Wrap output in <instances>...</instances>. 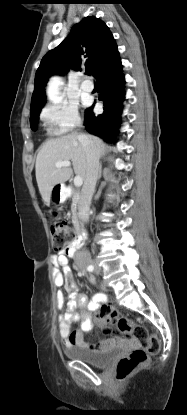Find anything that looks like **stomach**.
Wrapping results in <instances>:
<instances>
[{"label":"stomach","mask_w":187,"mask_h":415,"mask_svg":"<svg viewBox=\"0 0 187 415\" xmlns=\"http://www.w3.org/2000/svg\"><path fill=\"white\" fill-rule=\"evenodd\" d=\"M64 193H65V187L63 184L55 185L51 192V198L55 203L62 202Z\"/></svg>","instance_id":"stomach-1"}]
</instances>
